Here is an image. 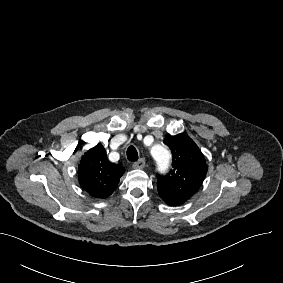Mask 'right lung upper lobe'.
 <instances>
[{"label":"right lung upper lobe","instance_id":"obj_1","mask_svg":"<svg viewBox=\"0 0 283 283\" xmlns=\"http://www.w3.org/2000/svg\"><path fill=\"white\" fill-rule=\"evenodd\" d=\"M124 171L122 166L110 163L103 146L97 144L81 158L79 183L91 196L106 198L117 188Z\"/></svg>","mask_w":283,"mask_h":283}]
</instances>
